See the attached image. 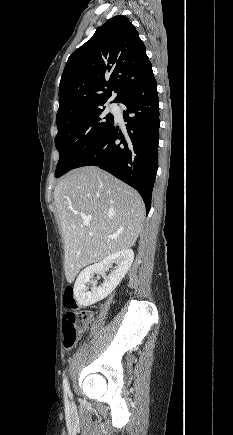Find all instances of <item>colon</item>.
<instances>
[{
	"label": "colon",
	"mask_w": 233,
	"mask_h": 435,
	"mask_svg": "<svg viewBox=\"0 0 233 435\" xmlns=\"http://www.w3.org/2000/svg\"><path fill=\"white\" fill-rule=\"evenodd\" d=\"M64 306L70 310L63 317L64 324V347L67 351L75 346L79 335L85 329L92 318V314L86 310H78V304L74 296V287L67 285L64 290Z\"/></svg>",
	"instance_id": "5ec220e1"
}]
</instances>
